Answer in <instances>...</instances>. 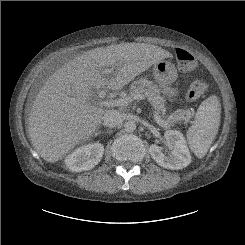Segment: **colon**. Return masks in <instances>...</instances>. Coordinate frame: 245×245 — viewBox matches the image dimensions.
<instances>
[{"label": "colon", "instance_id": "colon-1", "mask_svg": "<svg viewBox=\"0 0 245 245\" xmlns=\"http://www.w3.org/2000/svg\"><path fill=\"white\" fill-rule=\"evenodd\" d=\"M178 67L183 72H190L196 68V59L194 55L185 48L176 50ZM207 91V84L202 80H196L187 87L186 96L189 100L201 97Z\"/></svg>", "mask_w": 245, "mask_h": 245}]
</instances>
